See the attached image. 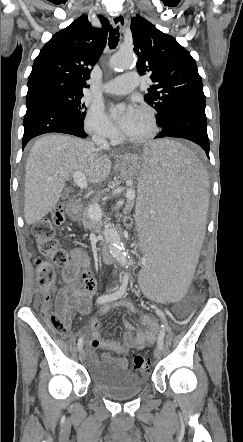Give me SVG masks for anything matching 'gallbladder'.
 I'll list each match as a JSON object with an SVG mask.
<instances>
[{
    "instance_id": "bac80fb5",
    "label": "gallbladder",
    "mask_w": 243,
    "mask_h": 442,
    "mask_svg": "<svg viewBox=\"0 0 243 442\" xmlns=\"http://www.w3.org/2000/svg\"><path fill=\"white\" fill-rule=\"evenodd\" d=\"M71 190H72V189H71L70 187H66L64 193L62 194V198H63V199H66V198L68 197V195H69V192H70Z\"/></svg>"
}]
</instances>
